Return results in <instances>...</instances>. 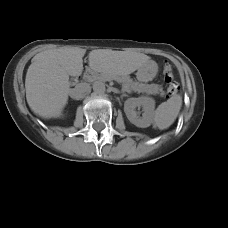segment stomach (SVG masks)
<instances>
[{"mask_svg": "<svg viewBox=\"0 0 228 228\" xmlns=\"http://www.w3.org/2000/svg\"><path fill=\"white\" fill-rule=\"evenodd\" d=\"M157 73V68L154 64L148 63L144 67L138 69L136 76L139 81L149 82L154 79Z\"/></svg>", "mask_w": 228, "mask_h": 228, "instance_id": "obj_1", "label": "stomach"}]
</instances>
